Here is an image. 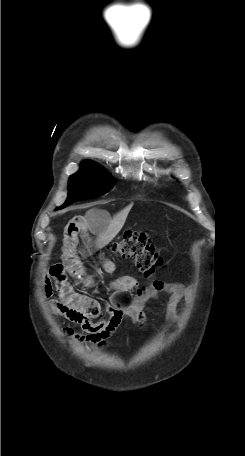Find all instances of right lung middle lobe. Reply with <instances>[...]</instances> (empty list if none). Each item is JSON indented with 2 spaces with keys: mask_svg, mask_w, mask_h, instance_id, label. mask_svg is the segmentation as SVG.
Returning a JSON list of instances; mask_svg holds the SVG:
<instances>
[{
  "mask_svg": "<svg viewBox=\"0 0 245 456\" xmlns=\"http://www.w3.org/2000/svg\"><path fill=\"white\" fill-rule=\"evenodd\" d=\"M115 180L98 166L82 167L69 178L68 197L59 208H65L73 202L99 197L110 191Z\"/></svg>",
  "mask_w": 245,
  "mask_h": 456,
  "instance_id": "obj_1",
  "label": "right lung middle lobe"
}]
</instances>
